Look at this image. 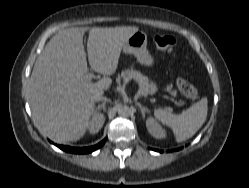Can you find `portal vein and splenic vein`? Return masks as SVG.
<instances>
[{
    "label": "portal vein and splenic vein",
    "mask_w": 249,
    "mask_h": 188,
    "mask_svg": "<svg viewBox=\"0 0 249 188\" xmlns=\"http://www.w3.org/2000/svg\"><path fill=\"white\" fill-rule=\"evenodd\" d=\"M92 76L93 75L91 73H89L88 78L91 80ZM169 110L172 111V108H169Z\"/></svg>",
    "instance_id": "portal-vein-and-splenic-vein-1"
}]
</instances>
